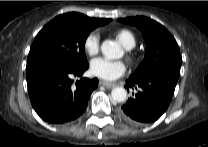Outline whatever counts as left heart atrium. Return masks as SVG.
Masks as SVG:
<instances>
[{
  "label": "left heart atrium",
  "instance_id": "obj_1",
  "mask_svg": "<svg viewBox=\"0 0 208 147\" xmlns=\"http://www.w3.org/2000/svg\"><path fill=\"white\" fill-rule=\"evenodd\" d=\"M90 71L94 76L112 81L125 73L126 65L123 61H113L100 57L91 61Z\"/></svg>",
  "mask_w": 208,
  "mask_h": 147
}]
</instances>
